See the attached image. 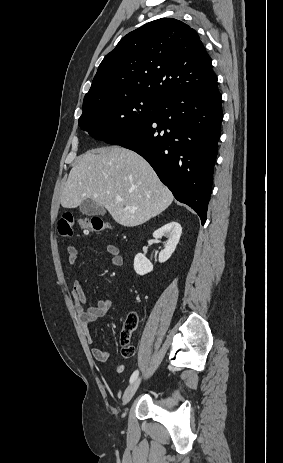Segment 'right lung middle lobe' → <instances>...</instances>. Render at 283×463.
<instances>
[{
  "label": "right lung middle lobe",
  "instance_id": "dd1d6c3e",
  "mask_svg": "<svg viewBox=\"0 0 283 463\" xmlns=\"http://www.w3.org/2000/svg\"><path fill=\"white\" fill-rule=\"evenodd\" d=\"M157 104L141 95H110L84 104L78 124L93 138L107 141L148 119Z\"/></svg>",
  "mask_w": 283,
  "mask_h": 463
}]
</instances>
